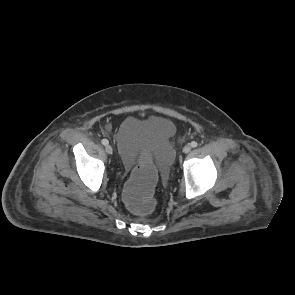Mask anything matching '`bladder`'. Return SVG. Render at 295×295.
Masks as SVG:
<instances>
[{"label": "bladder", "mask_w": 295, "mask_h": 295, "mask_svg": "<svg viewBox=\"0 0 295 295\" xmlns=\"http://www.w3.org/2000/svg\"><path fill=\"white\" fill-rule=\"evenodd\" d=\"M174 132L173 123L160 116L126 118L116 132L122 150L117 155L120 167L132 168L136 161L147 159L160 166L159 176H169L173 158L170 139Z\"/></svg>", "instance_id": "bladder-1"}]
</instances>
